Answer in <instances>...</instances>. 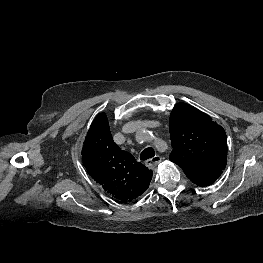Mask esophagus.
<instances>
[{"mask_svg": "<svg viewBox=\"0 0 263 263\" xmlns=\"http://www.w3.org/2000/svg\"><path fill=\"white\" fill-rule=\"evenodd\" d=\"M162 161L161 156L156 155L150 159H148L145 164L148 168H154L156 167L160 162Z\"/></svg>", "mask_w": 263, "mask_h": 263, "instance_id": "obj_1", "label": "esophagus"}]
</instances>
